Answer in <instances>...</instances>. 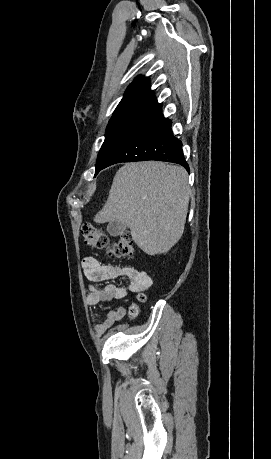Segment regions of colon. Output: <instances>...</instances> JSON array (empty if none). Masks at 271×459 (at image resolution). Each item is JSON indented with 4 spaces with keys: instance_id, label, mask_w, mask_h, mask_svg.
Masks as SVG:
<instances>
[{
    "instance_id": "5ec220e1",
    "label": "colon",
    "mask_w": 271,
    "mask_h": 459,
    "mask_svg": "<svg viewBox=\"0 0 271 459\" xmlns=\"http://www.w3.org/2000/svg\"><path fill=\"white\" fill-rule=\"evenodd\" d=\"M81 234L84 239V244L87 247L94 249H107V254L110 257L130 259L134 255L133 240L129 232H123L117 240L108 246V238L106 234L98 227L91 224H85L81 227ZM139 300H144V296L140 295ZM137 309H131V315L135 316Z\"/></svg>"
}]
</instances>
